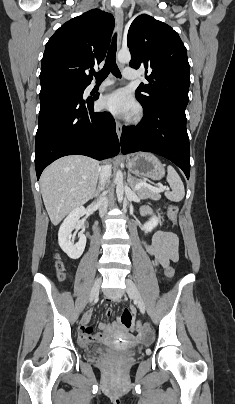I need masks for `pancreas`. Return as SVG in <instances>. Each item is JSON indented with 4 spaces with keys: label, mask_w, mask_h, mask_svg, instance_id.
Here are the masks:
<instances>
[{
    "label": "pancreas",
    "mask_w": 235,
    "mask_h": 404,
    "mask_svg": "<svg viewBox=\"0 0 235 404\" xmlns=\"http://www.w3.org/2000/svg\"><path fill=\"white\" fill-rule=\"evenodd\" d=\"M142 180H134L135 184H139L142 183ZM138 196L141 199H146V198H150L152 200H159L161 198V195L159 192H154L152 190H150L147 187H141L138 191H137Z\"/></svg>",
    "instance_id": "pancreas-1"
}]
</instances>
